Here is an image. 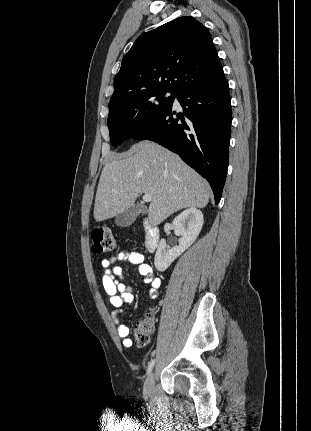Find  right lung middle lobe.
Here are the masks:
<instances>
[{"label": "right lung middle lobe", "mask_w": 311, "mask_h": 431, "mask_svg": "<svg viewBox=\"0 0 311 431\" xmlns=\"http://www.w3.org/2000/svg\"><path fill=\"white\" fill-rule=\"evenodd\" d=\"M151 90L110 99L107 125L113 146L134 137L142 128L168 109L176 93Z\"/></svg>", "instance_id": "1"}]
</instances>
